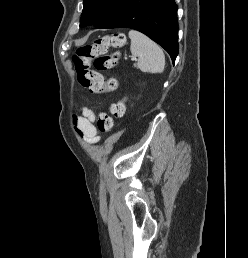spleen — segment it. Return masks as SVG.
Here are the masks:
<instances>
[{
  "label": "spleen",
  "instance_id": "obj_1",
  "mask_svg": "<svg viewBox=\"0 0 248 258\" xmlns=\"http://www.w3.org/2000/svg\"><path fill=\"white\" fill-rule=\"evenodd\" d=\"M130 51L138 57V68L143 72L162 73L165 66V56L162 49L143 33L130 30Z\"/></svg>",
  "mask_w": 248,
  "mask_h": 258
}]
</instances>
